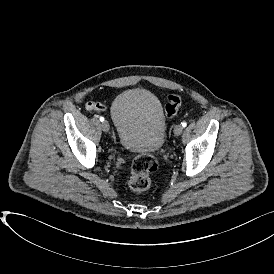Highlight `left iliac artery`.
<instances>
[{
	"label": "left iliac artery",
	"mask_w": 274,
	"mask_h": 274,
	"mask_svg": "<svg viewBox=\"0 0 274 274\" xmlns=\"http://www.w3.org/2000/svg\"><path fill=\"white\" fill-rule=\"evenodd\" d=\"M183 127H186L187 123L186 122H182L181 123Z\"/></svg>",
	"instance_id": "44dca946"
}]
</instances>
